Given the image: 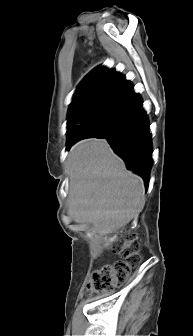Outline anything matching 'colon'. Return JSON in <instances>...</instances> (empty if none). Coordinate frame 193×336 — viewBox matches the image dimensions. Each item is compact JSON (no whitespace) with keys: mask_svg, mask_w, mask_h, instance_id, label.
I'll return each mask as SVG.
<instances>
[{"mask_svg":"<svg viewBox=\"0 0 193 336\" xmlns=\"http://www.w3.org/2000/svg\"><path fill=\"white\" fill-rule=\"evenodd\" d=\"M120 238L116 249L119 259L92 272L88 282V294L102 293L124 283L131 269L140 262V243L135 235L125 231Z\"/></svg>","mask_w":193,"mask_h":336,"instance_id":"1","label":"colon"}]
</instances>
